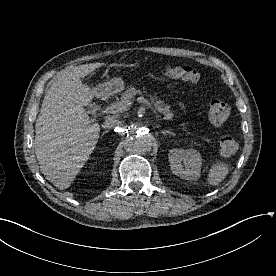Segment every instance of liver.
<instances>
[{"instance_id":"1","label":"liver","mask_w":276,"mask_h":276,"mask_svg":"<svg viewBox=\"0 0 276 276\" xmlns=\"http://www.w3.org/2000/svg\"><path fill=\"white\" fill-rule=\"evenodd\" d=\"M103 63L68 68L46 91L35 125V154L40 170L60 190L67 189L98 142L100 126L86 113L95 88L82 84Z\"/></svg>"}]
</instances>
